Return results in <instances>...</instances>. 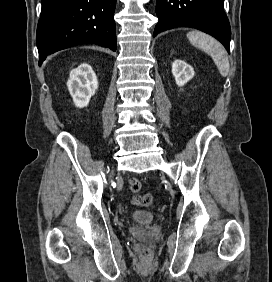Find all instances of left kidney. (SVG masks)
<instances>
[{
    "mask_svg": "<svg viewBox=\"0 0 272 282\" xmlns=\"http://www.w3.org/2000/svg\"><path fill=\"white\" fill-rule=\"evenodd\" d=\"M172 74L176 84L180 87L184 86L194 77V70L185 61L175 60L172 64Z\"/></svg>",
    "mask_w": 272,
    "mask_h": 282,
    "instance_id": "5707ae66",
    "label": "left kidney"
}]
</instances>
